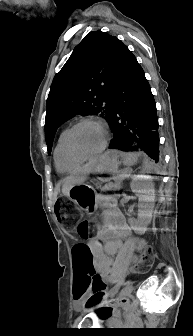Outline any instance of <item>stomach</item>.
Returning a JSON list of instances; mask_svg holds the SVG:
<instances>
[{
  "instance_id": "0dacf381",
  "label": "stomach",
  "mask_w": 193,
  "mask_h": 336,
  "mask_svg": "<svg viewBox=\"0 0 193 336\" xmlns=\"http://www.w3.org/2000/svg\"><path fill=\"white\" fill-rule=\"evenodd\" d=\"M118 165L117 154L115 152H106L99 157L91 172L97 174H116ZM68 196L83 210L90 213L95 210L98 204V195L95 190L83 183L72 187Z\"/></svg>"
}]
</instances>
